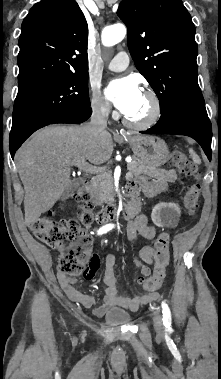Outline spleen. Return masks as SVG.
<instances>
[{"label": "spleen", "instance_id": "1", "mask_svg": "<svg viewBox=\"0 0 221 379\" xmlns=\"http://www.w3.org/2000/svg\"><path fill=\"white\" fill-rule=\"evenodd\" d=\"M190 153H191V156H192V159L195 163H198L200 164L201 163V160L200 158L193 152V150H190Z\"/></svg>", "mask_w": 221, "mask_h": 379}]
</instances>
